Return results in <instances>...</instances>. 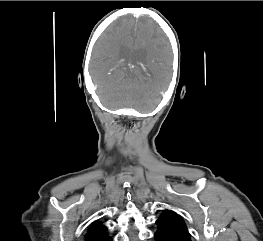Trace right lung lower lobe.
<instances>
[{
  "instance_id": "1",
  "label": "right lung lower lobe",
  "mask_w": 263,
  "mask_h": 241,
  "mask_svg": "<svg viewBox=\"0 0 263 241\" xmlns=\"http://www.w3.org/2000/svg\"><path fill=\"white\" fill-rule=\"evenodd\" d=\"M108 241H112V238L110 237V239H108Z\"/></svg>"
}]
</instances>
